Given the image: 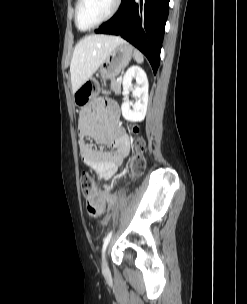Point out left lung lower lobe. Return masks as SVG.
<instances>
[{"mask_svg": "<svg viewBox=\"0 0 247 304\" xmlns=\"http://www.w3.org/2000/svg\"><path fill=\"white\" fill-rule=\"evenodd\" d=\"M169 12V0H122L118 12L95 33L120 35L149 60L154 74Z\"/></svg>", "mask_w": 247, "mask_h": 304, "instance_id": "0a47b994", "label": "left lung lower lobe"}]
</instances>
